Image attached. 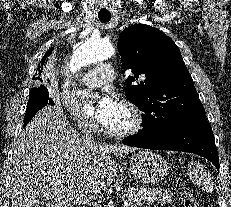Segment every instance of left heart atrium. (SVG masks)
<instances>
[{
    "label": "left heart atrium",
    "instance_id": "obj_1",
    "mask_svg": "<svg viewBox=\"0 0 231 207\" xmlns=\"http://www.w3.org/2000/svg\"><path fill=\"white\" fill-rule=\"evenodd\" d=\"M121 105L116 95L111 93L103 94L95 105L96 119L105 126L114 118Z\"/></svg>",
    "mask_w": 231,
    "mask_h": 207
}]
</instances>
